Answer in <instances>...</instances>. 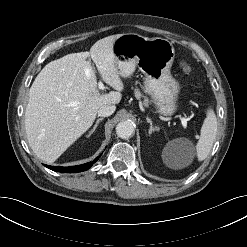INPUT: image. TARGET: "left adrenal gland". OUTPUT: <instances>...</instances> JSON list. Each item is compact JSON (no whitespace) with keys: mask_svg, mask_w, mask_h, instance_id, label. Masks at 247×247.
<instances>
[{"mask_svg":"<svg viewBox=\"0 0 247 247\" xmlns=\"http://www.w3.org/2000/svg\"><path fill=\"white\" fill-rule=\"evenodd\" d=\"M147 122L150 124V128H149V135L152 134V132L158 131L157 127H153L152 121L151 119H149L148 117L146 118Z\"/></svg>","mask_w":247,"mask_h":247,"instance_id":"obj_1","label":"left adrenal gland"}]
</instances>
